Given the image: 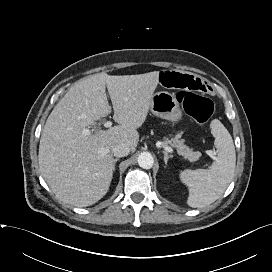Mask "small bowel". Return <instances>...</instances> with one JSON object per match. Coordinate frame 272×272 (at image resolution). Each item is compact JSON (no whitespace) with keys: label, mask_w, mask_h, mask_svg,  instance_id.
I'll list each match as a JSON object with an SVG mask.
<instances>
[{"label":"small bowel","mask_w":272,"mask_h":272,"mask_svg":"<svg viewBox=\"0 0 272 272\" xmlns=\"http://www.w3.org/2000/svg\"><path fill=\"white\" fill-rule=\"evenodd\" d=\"M160 83L166 88L187 92L206 93L210 91L208 84L201 78L173 70L162 71Z\"/></svg>","instance_id":"1"}]
</instances>
